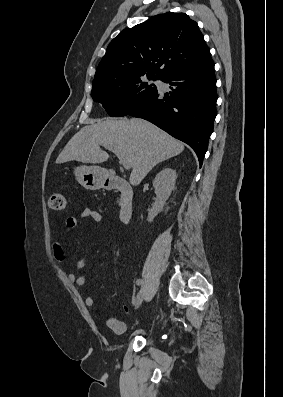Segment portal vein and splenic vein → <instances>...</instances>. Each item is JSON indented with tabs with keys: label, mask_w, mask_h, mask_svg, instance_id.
Instances as JSON below:
<instances>
[{
	"label": "portal vein and splenic vein",
	"mask_w": 283,
	"mask_h": 397,
	"mask_svg": "<svg viewBox=\"0 0 283 397\" xmlns=\"http://www.w3.org/2000/svg\"><path fill=\"white\" fill-rule=\"evenodd\" d=\"M102 145L109 151L113 152L118 157L119 163L123 166V168L127 170L131 168L130 163L124 158V156H122V154L117 149L107 144H102Z\"/></svg>",
	"instance_id": "18ae733b"
}]
</instances>
